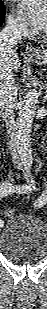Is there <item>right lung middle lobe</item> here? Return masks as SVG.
<instances>
[{"label": "right lung middle lobe", "mask_w": 47, "mask_h": 309, "mask_svg": "<svg viewBox=\"0 0 47 309\" xmlns=\"http://www.w3.org/2000/svg\"><path fill=\"white\" fill-rule=\"evenodd\" d=\"M4 14H5L4 3L0 1V15H4Z\"/></svg>", "instance_id": "dd1d6c3e"}]
</instances>
